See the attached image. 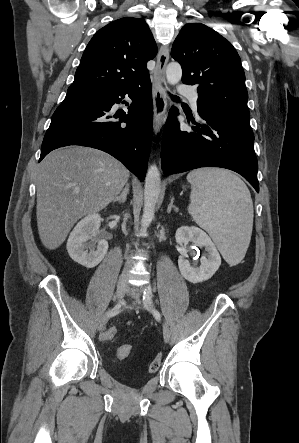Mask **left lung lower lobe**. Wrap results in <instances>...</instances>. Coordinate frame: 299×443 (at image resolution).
Segmentation results:
<instances>
[{"instance_id":"0a47b994","label":"left lung lower lobe","mask_w":299,"mask_h":443,"mask_svg":"<svg viewBox=\"0 0 299 443\" xmlns=\"http://www.w3.org/2000/svg\"><path fill=\"white\" fill-rule=\"evenodd\" d=\"M192 130L180 128L178 110L169 112L163 138L161 163L164 174L200 167H222L242 175L259 192L254 134L249 119L198 112Z\"/></svg>"}]
</instances>
